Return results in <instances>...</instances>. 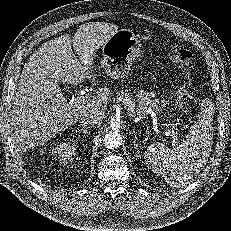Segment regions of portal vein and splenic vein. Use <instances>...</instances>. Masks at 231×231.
<instances>
[{"instance_id": "1", "label": "portal vein and splenic vein", "mask_w": 231, "mask_h": 231, "mask_svg": "<svg viewBox=\"0 0 231 231\" xmlns=\"http://www.w3.org/2000/svg\"><path fill=\"white\" fill-rule=\"evenodd\" d=\"M88 97L86 96V92L85 91H81L78 96L75 98V101L77 102H81V103H86L88 100ZM166 136H171L173 138V143H175L176 141V132L174 130H167L165 132Z\"/></svg>"}]
</instances>
